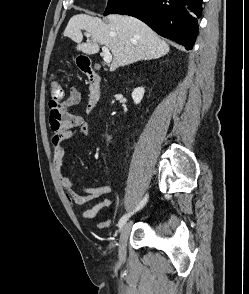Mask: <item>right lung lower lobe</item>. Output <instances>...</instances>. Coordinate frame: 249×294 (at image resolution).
<instances>
[{
    "mask_svg": "<svg viewBox=\"0 0 249 294\" xmlns=\"http://www.w3.org/2000/svg\"><path fill=\"white\" fill-rule=\"evenodd\" d=\"M202 0H128L117 12L134 16L159 35L192 49Z\"/></svg>",
    "mask_w": 249,
    "mask_h": 294,
    "instance_id": "98d812e1",
    "label": "right lung lower lobe"
}]
</instances>
